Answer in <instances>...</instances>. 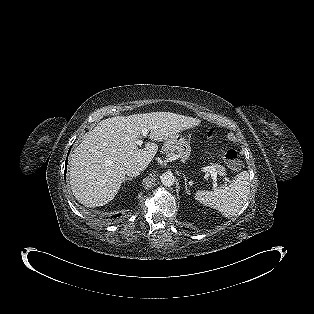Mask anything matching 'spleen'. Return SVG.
<instances>
[{"instance_id": "obj_1", "label": "spleen", "mask_w": 314, "mask_h": 314, "mask_svg": "<svg viewBox=\"0 0 314 314\" xmlns=\"http://www.w3.org/2000/svg\"><path fill=\"white\" fill-rule=\"evenodd\" d=\"M249 194V174L242 171L230 185L215 188L213 191L199 190L195 193V199L205 206L216 209L224 217H233L244 206Z\"/></svg>"}]
</instances>
